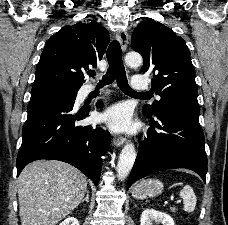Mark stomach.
Instances as JSON below:
<instances>
[{
    "mask_svg": "<svg viewBox=\"0 0 228 225\" xmlns=\"http://www.w3.org/2000/svg\"><path fill=\"white\" fill-rule=\"evenodd\" d=\"M164 191V185L158 179H146L136 185L133 197L136 199H152L158 197Z\"/></svg>",
    "mask_w": 228,
    "mask_h": 225,
    "instance_id": "0dacf381",
    "label": "stomach"
}]
</instances>
